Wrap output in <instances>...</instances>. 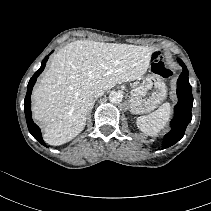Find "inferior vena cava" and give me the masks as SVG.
<instances>
[{
  "mask_svg": "<svg viewBox=\"0 0 211 211\" xmlns=\"http://www.w3.org/2000/svg\"><path fill=\"white\" fill-rule=\"evenodd\" d=\"M104 93H105V90L98 88V89L94 90L93 95L97 99L98 97L103 96Z\"/></svg>",
  "mask_w": 211,
  "mask_h": 211,
  "instance_id": "inferior-vena-cava-1",
  "label": "inferior vena cava"
}]
</instances>
